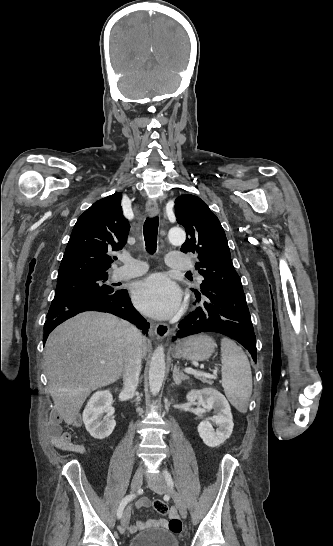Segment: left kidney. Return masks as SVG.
<instances>
[{
	"label": "left kidney",
	"mask_w": 333,
	"mask_h": 546,
	"mask_svg": "<svg viewBox=\"0 0 333 546\" xmlns=\"http://www.w3.org/2000/svg\"><path fill=\"white\" fill-rule=\"evenodd\" d=\"M189 402H197L207 411L214 410L215 415L210 418L216 425L215 430L209 420L198 425L199 436L209 447H217L230 437L233 431V420L230 405L227 399L214 388L192 390L187 396Z\"/></svg>",
	"instance_id": "1"
}]
</instances>
